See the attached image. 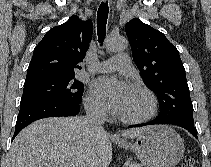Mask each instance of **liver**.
Here are the masks:
<instances>
[{
	"mask_svg": "<svg viewBox=\"0 0 211 167\" xmlns=\"http://www.w3.org/2000/svg\"><path fill=\"white\" fill-rule=\"evenodd\" d=\"M147 128L128 129L137 138ZM8 167H108L112 147L105 131L91 133L84 117H51L33 122L14 139Z\"/></svg>",
	"mask_w": 211,
	"mask_h": 167,
	"instance_id": "6515ba94",
	"label": "liver"
}]
</instances>
